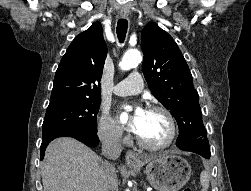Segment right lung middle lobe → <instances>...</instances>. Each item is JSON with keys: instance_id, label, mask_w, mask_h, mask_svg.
<instances>
[{"instance_id": "obj_1", "label": "right lung middle lobe", "mask_w": 251, "mask_h": 191, "mask_svg": "<svg viewBox=\"0 0 251 191\" xmlns=\"http://www.w3.org/2000/svg\"><path fill=\"white\" fill-rule=\"evenodd\" d=\"M101 99L60 103L48 106L42 125V138L54 132L78 128L97 133V113Z\"/></svg>"}]
</instances>
